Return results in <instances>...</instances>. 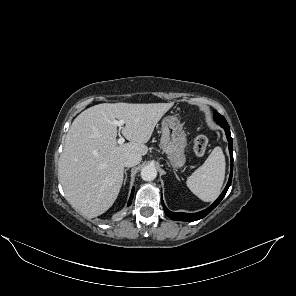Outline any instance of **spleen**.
Masks as SVG:
<instances>
[{"instance_id":"spleen-1","label":"spleen","mask_w":296,"mask_h":296,"mask_svg":"<svg viewBox=\"0 0 296 296\" xmlns=\"http://www.w3.org/2000/svg\"><path fill=\"white\" fill-rule=\"evenodd\" d=\"M225 177V156L215 147L206 161L186 181L187 187L202 201L210 202L220 194Z\"/></svg>"}]
</instances>
